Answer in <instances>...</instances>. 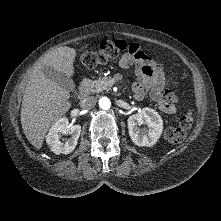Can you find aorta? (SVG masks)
Here are the masks:
<instances>
[{
  "label": "aorta",
  "instance_id": "aorta-1",
  "mask_svg": "<svg viewBox=\"0 0 221 221\" xmlns=\"http://www.w3.org/2000/svg\"><path fill=\"white\" fill-rule=\"evenodd\" d=\"M99 106L101 109L107 110L111 106V102L107 97H101L99 99Z\"/></svg>",
  "mask_w": 221,
  "mask_h": 221
}]
</instances>
